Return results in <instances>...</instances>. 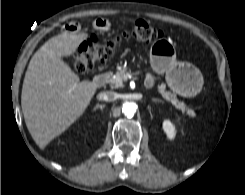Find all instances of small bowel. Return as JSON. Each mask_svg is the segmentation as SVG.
<instances>
[{
  "instance_id": "1",
  "label": "small bowel",
  "mask_w": 245,
  "mask_h": 195,
  "mask_svg": "<svg viewBox=\"0 0 245 195\" xmlns=\"http://www.w3.org/2000/svg\"><path fill=\"white\" fill-rule=\"evenodd\" d=\"M93 27L96 30L105 32V31H109L110 30L111 25H110V23L107 20L102 19V18H98V19L93 21ZM79 29H80V26H79V24L77 22H68L63 27V31L67 35L75 34V33H77L79 31ZM148 81L151 82L152 78L149 77Z\"/></svg>"
}]
</instances>
